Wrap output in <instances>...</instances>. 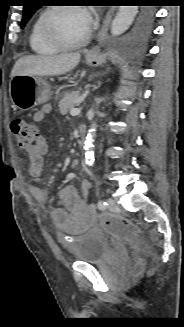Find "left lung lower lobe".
<instances>
[{
  "label": "left lung lower lobe",
  "instance_id": "1",
  "mask_svg": "<svg viewBox=\"0 0 184 327\" xmlns=\"http://www.w3.org/2000/svg\"><path fill=\"white\" fill-rule=\"evenodd\" d=\"M154 11L150 8L144 9L136 29L124 38L115 42V47L124 52L139 50L144 39L151 32V24Z\"/></svg>",
  "mask_w": 184,
  "mask_h": 327
}]
</instances>
